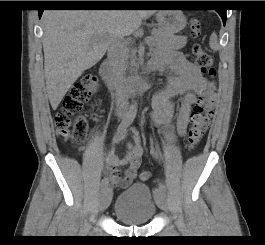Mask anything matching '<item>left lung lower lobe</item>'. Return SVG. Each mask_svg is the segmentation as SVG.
<instances>
[{
  "instance_id": "1",
  "label": "left lung lower lobe",
  "mask_w": 265,
  "mask_h": 245,
  "mask_svg": "<svg viewBox=\"0 0 265 245\" xmlns=\"http://www.w3.org/2000/svg\"><path fill=\"white\" fill-rule=\"evenodd\" d=\"M179 3H180L179 1H154L153 5H155V6H174V5L179 4ZM216 11L221 16L223 23L225 25V23H226V10L225 9H219Z\"/></svg>"
}]
</instances>
